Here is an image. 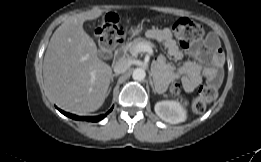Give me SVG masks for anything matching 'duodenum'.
<instances>
[{"label":"duodenum","instance_id":"obj_1","mask_svg":"<svg viewBox=\"0 0 261 162\" xmlns=\"http://www.w3.org/2000/svg\"><path fill=\"white\" fill-rule=\"evenodd\" d=\"M122 42H123V40H121L120 42H118V43H120L119 46H118V48H117L119 55H123V54H124V46H123V43H122Z\"/></svg>","mask_w":261,"mask_h":162}]
</instances>
